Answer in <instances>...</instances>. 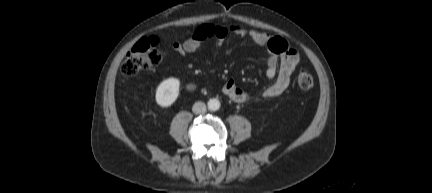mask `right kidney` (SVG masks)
Returning <instances> with one entry per match:
<instances>
[{"mask_svg":"<svg viewBox=\"0 0 432 193\" xmlns=\"http://www.w3.org/2000/svg\"><path fill=\"white\" fill-rule=\"evenodd\" d=\"M180 81L171 77L162 81L156 90L155 99L161 107L171 106L179 96Z\"/></svg>","mask_w":432,"mask_h":193,"instance_id":"right-kidney-1","label":"right kidney"}]
</instances>
